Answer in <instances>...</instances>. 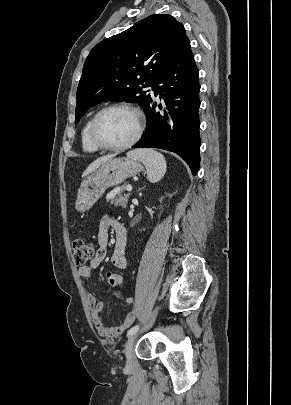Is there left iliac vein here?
Segmentation results:
<instances>
[{
  "instance_id": "left-iliac-vein-1",
  "label": "left iliac vein",
  "mask_w": 291,
  "mask_h": 405,
  "mask_svg": "<svg viewBox=\"0 0 291 405\" xmlns=\"http://www.w3.org/2000/svg\"><path fill=\"white\" fill-rule=\"evenodd\" d=\"M154 319H155V317H153V319L151 320L150 324L147 327H150L152 325ZM137 337H138L137 333L131 335L125 344L124 354L126 357L127 367H129L131 365V358H132V354H133V350L135 347V342H136Z\"/></svg>"
}]
</instances>
